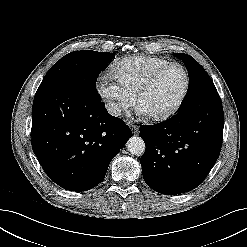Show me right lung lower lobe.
Listing matches in <instances>:
<instances>
[{
  "instance_id": "1",
  "label": "right lung lower lobe",
  "mask_w": 247,
  "mask_h": 247,
  "mask_svg": "<svg viewBox=\"0 0 247 247\" xmlns=\"http://www.w3.org/2000/svg\"><path fill=\"white\" fill-rule=\"evenodd\" d=\"M104 106L91 81L61 77L40 84L32 108V148L60 187L86 191L98 185L132 136Z\"/></svg>"
}]
</instances>
